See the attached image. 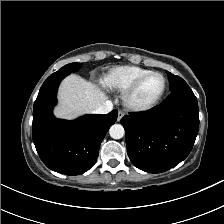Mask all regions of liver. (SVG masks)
<instances>
[{
	"instance_id": "1",
	"label": "liver",
	"mask_w": 224,
	"mask_h": 224,
	"mask_svg": "<svg viewBox=\"0 0 224 224\" xmlns=\"http://www.w3.org/2000/svg\"><path fill=\"white\" fill-rule=\"evenodd\" d=\"M59 106L54 114L59 118L73 119L83 113H93L107 96L96 84L77 75H70L62 82Z\"/></svg>"
}]
</instances>
